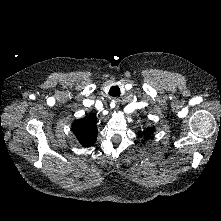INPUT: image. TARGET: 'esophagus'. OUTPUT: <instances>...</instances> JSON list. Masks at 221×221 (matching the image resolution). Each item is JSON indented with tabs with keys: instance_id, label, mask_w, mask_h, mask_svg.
Segmentation results:
<instances>
[{
	"instance_id": "obj_1",
	"label": "esophagus",
	"mask_w": 221,
	"mask_h": 221,
	"mask_svg": "<svg viewBox=\"0 0 221 221\" xmlns=\"http://www.w3.org/2000/svg\"><path fill=\"white\" fill-rule=\"evenodd\" d=\"M113 102H114V103L116 104V106L118 107L119 104H120V102H121V100H120V98L115 97V98L113 99Z\"/></svg>"
}]
</instances>
